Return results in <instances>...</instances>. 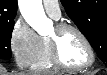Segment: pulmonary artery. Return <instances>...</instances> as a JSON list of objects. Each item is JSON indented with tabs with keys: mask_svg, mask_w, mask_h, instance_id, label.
Returning <instances> with one entry per match:
<instances>
[{
	"mask_svg": "<svg viewBox=\"0 0 107 75\" xmlns=\"http://www.w3.org/2000/svg\"><path fill=\"white\" fill-rule=\"evenodd\" d=\"M43 6L49 16L56 20L60 18L61 11L57 0H43Z\"/></svg>",
	"mask_w": 107,
	"mask_h": 75,
	"instance_id": "1",
	"label": "pulmonary artery"
}]
</instances>
